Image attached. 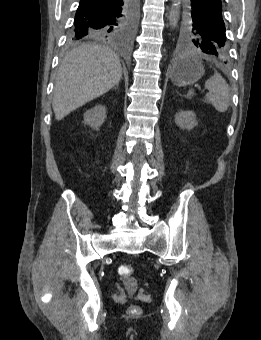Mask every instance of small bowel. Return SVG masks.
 I'll return each mask as SVG.
<instances>
[{"label":"small bowel","instance_id":"1","mask_svg":"<svg viewBox=\"0 0 261 340\" xmlns=\"http://www.w3.org/2000/svg\"><path fill=\"white\" fill-rule=\"evenodd\" d=\"M128 294L132 295L135 292V288L132 285L127 287Z\"/></svg>","mask_w":261,"mask_h":340}]
</instances>
